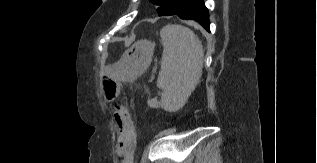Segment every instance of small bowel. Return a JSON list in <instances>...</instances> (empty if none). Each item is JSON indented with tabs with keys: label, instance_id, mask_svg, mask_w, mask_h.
<instances>
[{
	"label": "small bowel",
	"instance_id": "1",
	"mask_svg": "<svg viewBox=\"0 0 317 163\" xmlns=\"http://www.w3.org/2000/svg\"><path fill=\"white\" fill-rule=\"evenodd\" d=\"M114 121L118 128V143L123 146V158L125 163H132V156L136 146L137 135L128 113L124 109H118L114 114Z\"/></svg>",
	"mask_w": 317,
	"mask_h": 163
}]
</instances>
